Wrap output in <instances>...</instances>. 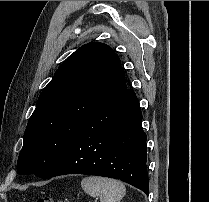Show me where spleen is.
I'll list each match as a JSON object with an SVG mask.
<instances>
[{"label": "spleen", "mask_w": 209, "mask_h": 202, "mask_svg": "<svg viewBox=\"0 0 209 202\" xmlns=\"http://www.w3.org/2000/svg\"><path fill=\"white\" fill-rule=\"evenodd\" d=\"M81 187L88 195L99 197L101 202H120L126 193L121 181L104 177H85L81 181Z\"/></svg>", "instance_id": "1"}]
</instances>
